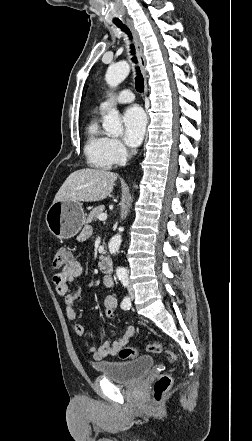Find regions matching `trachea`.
I'll list each match as a JSON object with an SVG mask.
<instances>
[{
  "instance_id": "obj_1",
  "label": "trachea",
  "mask_w": 252,
  "mask_h": 441,
  "mask_svg": "<svg viewBox=\"0 0 252 441\" xmlns=\"http://www.w3.org/2000/svg\"><path fill=\"white\" fill-rule=\"evenodd\" d=\"M114 23L117 27H119L122 31H124L128 35L130 40L132 39V35H131L129 29L120 20H116V21H114ZM130 48H131V51H130L131 54L134 55L135 54L134 45L131 44ZM132 61L134 63H137V59L135 56L132 58ZM136 72H137V75L135 78V86H136V90L141 93L144 91V79L142 77V74L140 73L139 67H136Z\"/></svg>"
}]
</instances>
